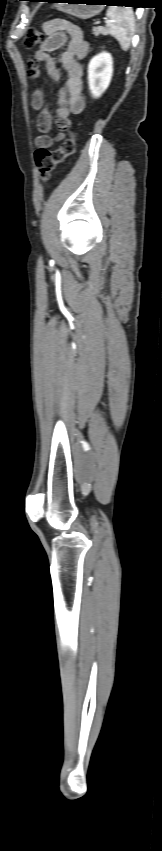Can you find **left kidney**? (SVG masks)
I'll use <instances>...</instances> for the list:
<instances>
[{
    "label": "left kidney",
    "instance_id": "left-kidney-1",
    "mask_svg": "<svg viewBox=\"0 0 162 851\" xmlns=\"http://www.w3.org/2000/svg\"><path fill=\"white\" fill-rule=\"evenodd\" d=\"M113 74V60L109 53L94 56L88 64V84L93 97L98 98L108 88Z\"/></svg>",
    "mask_w": 162,
    "mask_h": 851
}]
</instances>
